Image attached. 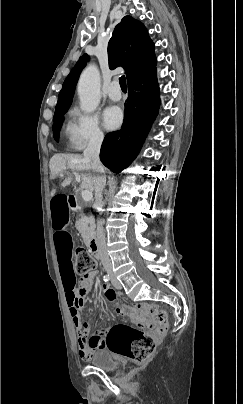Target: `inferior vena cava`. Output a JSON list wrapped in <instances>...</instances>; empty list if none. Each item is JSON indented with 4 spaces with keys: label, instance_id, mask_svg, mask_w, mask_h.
<instances>
[{
    "label": "inferior vena cava",
    "instance_id": "1",
    "mask_svg": "<svg viewBox=\"0 0 243 404\" xmlns=\"http://www.w3.org/2000/svg\"><path fill=\"white\" fill-rule=\"evenodd\" d=\"M103 142V136L101 134H94L92 138H90V142H88V146L86 150H84V158L87 162H90L91 168L93 172H95L93 176L94 180V190H95V208H97L98 212H102V192L104 190L106 178H105V170L100 162L99 152L101 148V144ZM97 248L98 254L101 258L102 264H104V271L106 274L112 273V264L110 263L107 246H106V238L103 230V222L99 220L97 222Z\"/></svg>",
    "mask_w": 243,
    "mask_h": 404
}]
</instances>
